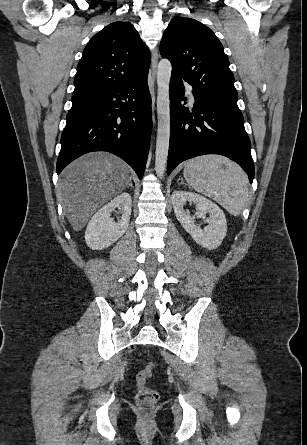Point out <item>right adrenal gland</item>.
Segmentation results:
<instances>
[{"label": "right adrenal gland", "mask_w": 307, "mask_h": 445, "mask_svg": "<svg viewBox=\"0 0 307 445\" xmlns=\"http://www.w3.org/2000/svg\"><path fill=\"white\" fill-rule=\"evenodd\" d=\"M129 178H130V180H129V184H128L127 188H129V186H132V188H134V186L132 184V180H131L132 176H129Z\"/></svg>", "instance_id": "right-adrenal-gland-1"}]
</instances>
